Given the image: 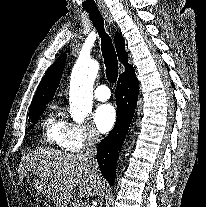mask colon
I'll list each match as a JSON object with an SVG mask.
<instances>
[{"mask_svg": "<svg viewBox=\"0 0 206 207\" xmlns=\"http://www.w3.org/2000/svg\"><path fill=\"white\" fill-rule=\"evenodd\" d=\"M35 207H47V206L44 202L39 201Z\"/></svg>", "mask_w": 206, "mask_h": 207, "instance_id": "obj_1", "label": "colon"}]
</instances>
